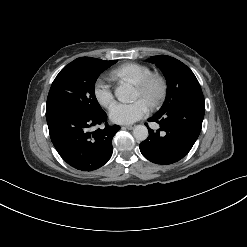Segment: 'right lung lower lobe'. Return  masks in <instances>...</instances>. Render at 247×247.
I'll return each instance as SVG.
<instances>
[{
    "instance_id": "obj_1",
    "label": "right lung lower lobe",
    "mask_w": 247,
    "mask_h": 247,
    "mask_svg": "<svg viewBox=\"0 0 247 247\" xmlns=\"http://www.w3.org/2000/svg\"><path fill=\"white\" fill-rule=\"evenodd\" d=\"M104 111L96 115L76 112L63 113L47 119L51 141L59 155L72 167L92 171L110 159L112 139L120 126L105 124L104 129L89 131L92 126L106 122Z\"/></svg>"
}]
</instances>
